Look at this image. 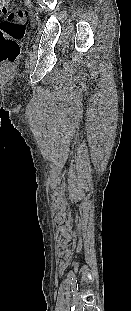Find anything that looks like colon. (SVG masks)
I'll return each instance as SVG.
<instances>
[{"label":"colon","instance_id":"1","mask_svg":"<svg viewBox=\"0 0 131 311\" xmlns=\"http://www.w3.org/2000/svg\"><path fill=\"white\" fill-rule=\"evenodd\" d=\"M9 2L0 0V62L4 63H11L18 57L19 40L24 36L29 21V14L24 8L7 11Z\"/></svg>","mask_w":131,"mask_h":311}]
</instances>
